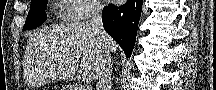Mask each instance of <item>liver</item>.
<instances>
[{"mask_svg":"<svg viewBox=\"0 0 216 90\" xmlns=\"http://www.w3.org/2000/svg\"><path fill=\"white\" fill-rule=\"evenodd\" d=\"M109 46L116 54L118 46L112 38ZM99 56L98 38L88 22L67 20L61 26L35 32L26 48L24 64L42 62V72L48 78L70 80L77 70L91 78Z\"/></svg>","mask_w":216,"mask_h":90,"instance_id":"liver-1","label":"liver"}]
</instances>
